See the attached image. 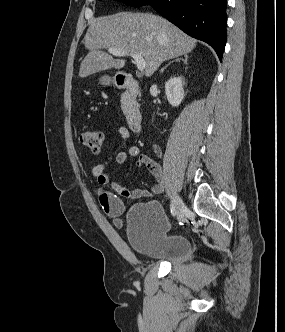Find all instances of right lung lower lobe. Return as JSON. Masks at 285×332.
<instances>
[{
  "label": "right lung lower lobe",
  "mask_w": 285,
  "mask_h": 332,
  "mask_svg": "<svg viewBox=\"0 0 285 332\" xmlns=\"http://www.w3.org/2000/svg\"><path fill=\"white\" fill-rule=\"evenodd\" d=\"M227 0H153L157 12L188 35L210 44L222 59L226 44Z\"/></svg>",
  "instance_id": "obj_1"
}]
</instances>
